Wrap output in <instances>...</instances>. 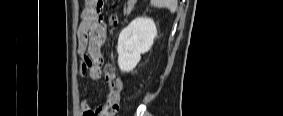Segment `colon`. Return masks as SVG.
I'll return each instance as SVG.
<instances>
[{
	"label": "colon",
	"mask_w": 283,
	"mask_h": 116,
	"mask_svg": "<svg viewBox=\"0 0 283 116\" xmlns=\"http://www.w3.org/2000/svg\"><path fill=\"white\" fill-rule=\"evenodd\" d=\"M117 18L115 15L110 16V23L115 24ZM104 74L109 86V93L105 104L106 113L110 116L115 115L119 110V100L123 90V82L113 64L104 66Z\"/></svg>",
	"instance_id": "1"
}]
</instances>
